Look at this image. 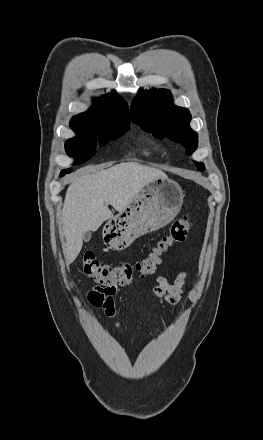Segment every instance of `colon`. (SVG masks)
<instances>
[{
  "instance_id": "colon-1",
  "label": "colon",
  "mask_w": 263,
  "mask_h": 440,
  "mask_svg": "<svg viewBox=\"0 0 263 440\" xmlns=\"http://www.w3.org/2000/svg\"><path fill=\"white\" fill-rule=\"evenodd\" d=\"M192 223L189 217L173 221L168 233L164 235L148 254L134 262L119 265L101 263L93 250H87L82 257L84 275L102 287L117 288L132 283L136 276L153 274L161 265L162 256L173 246L184 241Z\"/></svg>"
}]
</instances>
